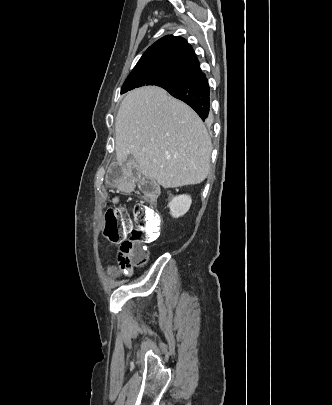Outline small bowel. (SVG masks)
Returning <instances> with one entry per match:
<instances>
[{
	"label": "small bowel",
	"instance_id": "c3829d8e",
	"mask_svg": "<svg viewBox=\"0 0 332 405\" xmlns=\"http://www.w3.org/2000/svg\"><path fill=\"white\" fill-rule=\"evenodd\" d=\"M110 172H103V181L107 186H140L141 172H128L126 162H111ZM113 204H118V199H113ZM109 272L113 275H119L120 270L115 265L109 266Z\"/></svg>",
	"mask_w": 332,
	"mask_h": 405
}]
</instances>
